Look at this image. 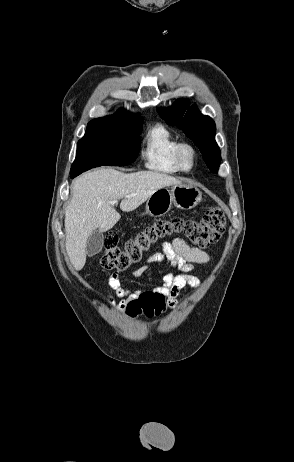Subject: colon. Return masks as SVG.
Returning <instances> with one entry per match:
<instances>
[{"label":"colon","mask_w":294,"mask_h":462,"mask_svg":"<svg viewBox=\"0 0 294 462\" xmlns=\"http://www.w3.org/2000/svg\"><path fill=\"white\" fill-rule=\"evenodd\" d=\"M225 229L226 220L222 209L212 207L199 220L175 218L155 222L137 232L123 248L118 245V236L110 233L105 241L100 264L106 270L125 271L139 263L155 244L173 231L185 232L193 244L205 248L217 242ZM166 306V300L162 295L148 290L131 299L126 311L130 316L154 317L160 315Z\"/></svg>","instance_id":"1"}]
</instances>
